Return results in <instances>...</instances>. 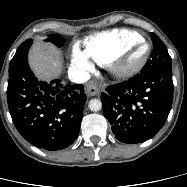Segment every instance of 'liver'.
<instances>
[{"label": "liver", "instance_id": "6515ba94", "mask_svg": "<svg viewBox=\"0 0 187 187\" xmlns=\"http://www.w3.org/2000/svg\"><path fill=\"white\" fill-rule=\"evenodd\" d=\"M29 62L36 76L49 80L62 69L60 51L53 45L36 42L29 56Z\"/></svg>", "mask_w": 187, "mask_h": 187}]
</instances>
